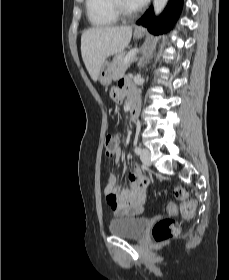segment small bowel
I'll return each instance as SVG.
<instances>
[{
  "label": "small bowel",
  "mask_w": 229,
  "mask_h": 280,
  "mask_svg": "<svg viewBox=\"0 0 229 280\" xmlns=\"http://www.w3.org/2000/svg\"><path fill=\"white\" fill-rule=\"evenodd\" d=\"M138 91L127 78L119 81L118 86L110 90V97L116 102H123L127 95ZM139 95V94H138ZM116 164L121 162V150L117 148L114 153ZM130 184L119 185L113 173L109 174L105 187L107 202L116 217H134L143 213L146 199L147 181L144 179L140 167L135 165L132 171L127 172ZM130 201V203H126Z\"/></svg>",
  "instance_id": "obj_1"
}]
</instances>
